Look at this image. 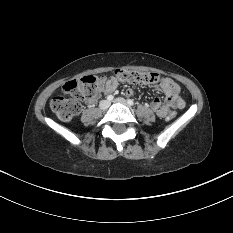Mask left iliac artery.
<instances>
[{
	"label": "left iliac artery",
	"mask_w": 233,
	"mask_h": 233,
	"mask_svg": "<svg viewBox=\"0 0 233 233\" xmlns=\"http://www.w3.org/2000/svg\"><path fill=\"white\" fill-rule=\"evenodd\" d=\"M127 103H128L129 105H131V106L134 105V102H133V100H131V99H128V100H127Z\"/></svg>",
	"instance_id": "44dca946"
}]
</instances>
